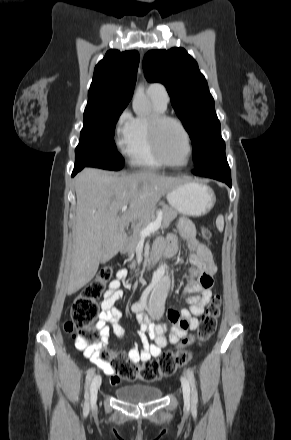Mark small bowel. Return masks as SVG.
Instances as JSON below:
<instances>
[{
  "label": "small bowel",
  "instance_id": "c3829d8e",
  "mask_svg": "<svg viewBox=\"0 0 291 440\" xmlns=\"http://www.w3.org/2000/svg\"><path fill=\"white\" fill-rule=\"evenodd\" d=\"M179 230L183 241L189 247L190 256L194 263L189 272V278L184 289L187 294V301L190 304L189 309H182L179 312L169 310V317L175 316L178 320L174 324L170 333H167V327L164 325H152L144 313L147 306V295L135 304L136 320L140 324L138 336L140 345H136L128 352V358L133 363H145L152 358L159 356L164 347L175 345L181 338L186 336L188 331H194L198 328L197 317L203 313L204 306L208 303L211 293L207 289V282L211 276L217 273V266L213 260L212 252L203 243L196 238L194 225L182 220L179 224ZM179 248V237L176 233H169L166 240L158 239L155 242L154 249L157 254H163L166 257L175 255ZM126 271L120 270L115 279H113L104 299L101 302V313L99 314L96 328L100 330V342L98 346L87 347L83 342L76 340L75 347L83 352L93 363L98 365L106 375L109 376L111 383H120L121 377L117 375L111 364L99 359L98 348L107 346L111 333H114L119 339L125 336L124 329L119 324L120 311L114 307V303L122 298L123 292L120 290L122 282H125ZM130 287L129 285H126ZM201 292V295L194 294ZM183 320L189 321V324L183 325ZM147 332V335L145 334Z\"/></svg>",
  "mask_w": 291,
  "mask_h": 440
}]
</instances>
